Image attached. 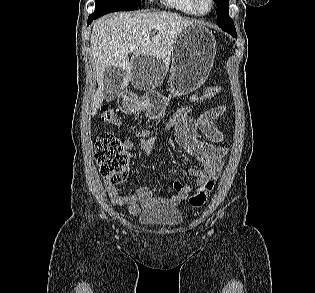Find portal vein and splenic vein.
<instances>
[{
	"instance_id": "1",
	"label": "portal vein and splenic vein",
	"mask_w": 315,
	"mask_h": 293,
	"mask_svg": "<svg viewBox=\"0 0 315 293\" xmlns=\"http://www.w3.org/2000/svg\"><path fill=\"white\" fill-rule=\"evenodd\" d=\"M134 49H135V47H134V46H131V47H130V50H134Z\"/></svg>"
}]
</instances>
